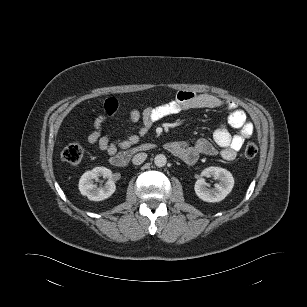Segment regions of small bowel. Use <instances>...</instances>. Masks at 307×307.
Masks as SVG:
<instances>
[{
    "label": "small bowel",
    "mask_w": 307,
    "mask_h": 307,
    "mask_svg": "<svg viewBox=\"0 0 307 307\" xmlns=\"http://www.w3.org/2000/svg\"><path fill=\"white\" fill-rule=\"evenodd\" d=\"M215 108L226 110L228 117L227 124H221L214 131L212 140L202 138L192 144L169 142L166 144V149L187 164H194L200 157L215 155L218 152L225 160L233 161L245 140L252 136L253 125L247 120L245 112L234 102L212 94L192 91H179L173 100L161 105L145 107L143 110L132 109L127 119L130 123H139L138 132L117 140L103 132L104 123L118 110V101L108 98L103 102V113L93 121L87 142L90 145H96L101 151L113 157L119 149L125 150L138 143L155 123L168 116L190 109ZM229 127L237 130V133L232 134Z\"/></svg>",
    "instance_id": "obj_1"
}]
</instances>
